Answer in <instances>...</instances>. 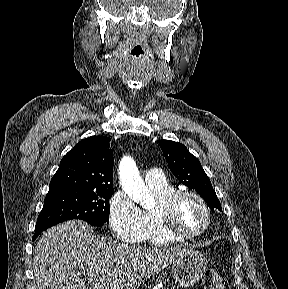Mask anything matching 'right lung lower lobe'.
I'll use <instances>...</instances> for the list:
<instances>
[{"mask_svg":"<svg viewBox=\"0 0 288 289\" xmlns=\"http://www.w3.org/2000/svg\"><path fill=\"white\" fill-rule=\"evenodd\" d=\"M41 232L42 231H38V232L35 231V234L32 239L35 240Z\"/></svg>","mask_w":288,"mask_h":289,"instance_id":"1","label":"right lung lower lobe"}]
</instances>
